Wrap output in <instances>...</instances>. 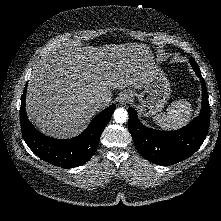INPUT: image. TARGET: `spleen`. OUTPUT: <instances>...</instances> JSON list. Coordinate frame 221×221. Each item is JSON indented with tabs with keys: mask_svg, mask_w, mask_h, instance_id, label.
Here are the masks:
<instances>
[{
	"mask_svg": "<svg viewBox=\"0 0 221 221\" xmlns=\"http://www.w3.org/2000/svg\"><path fill=\"white\" fill-rule=\"evenodd\" d=\"M192 108L188 101L173 102L167 112L160 113L153 121L163 130H177L185 126L191 119Z\"/></svg>",
	"mask_w": 221,
	"mask_h": 221,
	"instance_id": "obj_1",
	"label": "spleen"
}]
</instances>
